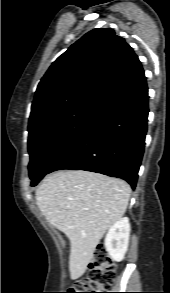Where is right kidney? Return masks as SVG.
<instances>
[{
	"instance_id": "ca27d5eb",
	"label": "right kidney",
	"mask_w": 170,
	"mask_h": 293,
	"mask_svg": "<svg viewBox=\"0 0 170 293\" xmlns=\"http://www.w3.org/2000/svg\"><path fill=\"white\" fill-rule=\"evenodd\" d=\"M130 236V224L127 217L120 218L115 222L105 237V248L109 256L117 262L124 259L127 252Z\"/></svg>"
}]
</instances>
